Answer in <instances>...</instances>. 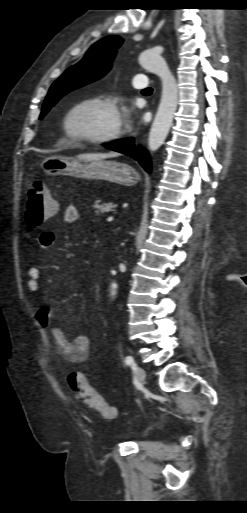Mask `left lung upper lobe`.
Wrapping results in <instances>:
<instances>
[{
    "mask_svg": "<svg viewBox=\"0 0 247 513\" xmlns=\"http://www.w3.org/2000/svg\"><path fill=\"white\" fill-rule=\"evenodd\" d=\"M122 43L121 37L111 35L93 44L80 62L67 69L52 84L45 98L40 119L61 97L104 76L110 70L116 50Z\"/></svg>",
    "mask_w": 247,
    "mask_h": 513,
    "instance_id": "left-lung-upper-lobe-1",
    "label": "left lung upper lobe"
}]
</instances>
